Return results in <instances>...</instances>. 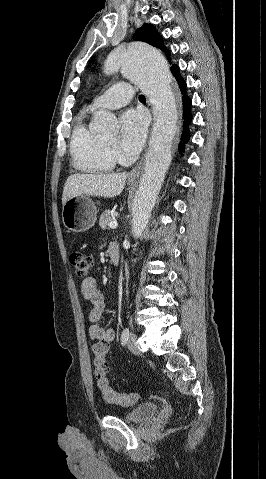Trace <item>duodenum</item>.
Returning <instances> with one entry per match:
<instances>
[{
    "mask_svg": "<svg viewBox=\"0 0 266 479\" xmlns=\"http://www.w3.org/2000/svg\"><path fill=\"white\" fill-rule=\"evenodd\" d=\"M108 254L113 265L117 266L120 261V248L115 242H112L108 248Z\"/></svg>",
    "mask_w": 266,
    "mask_h": 479,
    "instance_id": "obj_1",
    "label": "duodenum"
}]
</instances>
